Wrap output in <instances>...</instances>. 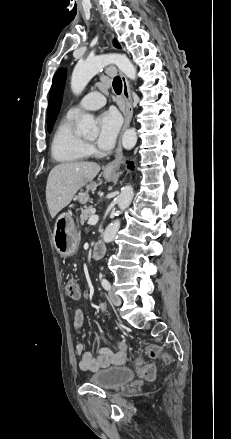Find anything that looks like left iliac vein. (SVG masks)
Wrapping results in <instances>:
<instances>
[{"label": "left iliac vein", "instance_id": "1", "mask_svg": "<svg viewBox=\"0 0 231 439\" xmlns=\"http://www.w3.org/2000/svg\"><path fill=\"white\" fill-rule=\"evenodd\" d=\"M109 298L112 304H114L115 306H120L122 303L121 298L113 291H109Z\"/></svg>", "mask_w": 231, "mask_h": 439}]
</instances>
